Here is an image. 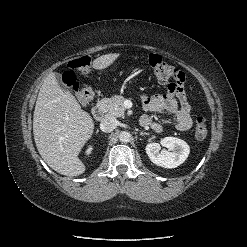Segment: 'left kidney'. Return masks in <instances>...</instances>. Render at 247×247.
<instances>
[{
	"label": "left kidney",
	"instance_id": "5707ae66",
	"mask_svg": "<svg viewBox=\"0 0 247 247\" xmlns=\"http://www.w3.org/2000/svg\"><path fill=\"white\" fill-rule=\"evenodd\" d=\"M161 146L168 149L161 151ZM146 153L150 160L164 168H176L181 165L190 153L189 145L176 137H165L159 143L152 142L146 145Z\"/></svg>",
	"mask_w": 247,
	"mask_h": 247
}]
</instances>
